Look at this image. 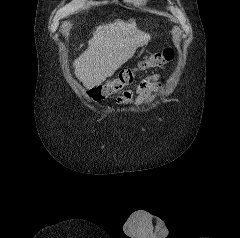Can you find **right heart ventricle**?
<instances>
[{
	"instance_id": "obj_1",
	"label": "right heart ventricle",
	"mask_w": 240,
	"mask_h": 238,
	"mask_svg": "<svg viewBox=\"0 0 240 238\" xmlns=\"http://www.w3.org/2000/svg\"><path fill=\"white\" fill-rule=\"evenodd\" d=\"M123 1L126 3H132V4L139 5V4L145 3L146 0H123Z\"/></svg>"
}]
</instances>
